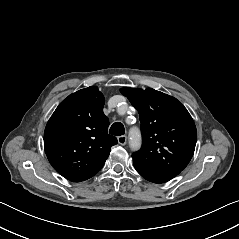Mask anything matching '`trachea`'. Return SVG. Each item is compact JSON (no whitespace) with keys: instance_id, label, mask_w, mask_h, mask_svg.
<instances>
[{"instance_id":"trachea-1","label":"trachea","mask_w":239,"mask_h":239,"mask_svg":"<svg viewBox=\"0 0 239 239\" xmlns=\"http://www.w3.org/2000/svg\"><path fill=\"white\" fill-rule=\"evenodd\" d=\"M125 132L124 130V125L120 122H115L111 125V128L109 130V133L111 135H115V136H121L123 135Z\"/></svg>"}]
</instances>
